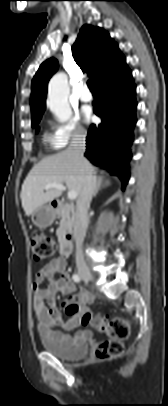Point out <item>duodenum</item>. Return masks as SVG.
I'll return each instance as SVG.
<instances>
[{"label": "duodenum", "instance_id": "1", "mask_svg": "<svg viewBox=\"0 0 168 406\" xmlns=\"http://www.w3.org/2000/svg\"><path fill=\"white\" fill-rule=\"evenodd\" d=\"M51 206L54 209L62 208L63 204L58 200H53ZM60 251L62 256L68 257L73 251V237L71 234H66L60 239Z\"/></svg>", "mask_w": 168, "mask_h": 406}]
</instances>
